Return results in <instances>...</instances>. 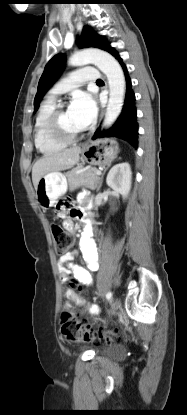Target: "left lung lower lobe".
I'll return each instance as SVG.
<instances>
[{
  "instance_id": "1",
  "label": "left lung lower lobe",
  "mask_w": 187,
  "mask_h": 415,
  "mask_svg": "<svg viewBox=\"0 0 187 415\" xmlns=\"http://www.w3.org/2000/svg\"><path fill=\"white\" fill-rule=\"evenodd\" d=\"M113 55L124 71L125 75V82H126V95L125 101L123 105L122 112L114 124L108 128L107 130L101 131V129H97L94 133L92 139L101 138V137H117L122 138L128 141L133 147L137 148L138 145V124L136 122L137 112L135 108V95L132 90L131 79L128 75L127 68L125 64L122 62V58L119 54L115 51L114 48L108 46L105 50Z\"/></svg>"
}]
</instances>
